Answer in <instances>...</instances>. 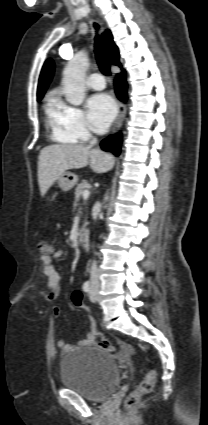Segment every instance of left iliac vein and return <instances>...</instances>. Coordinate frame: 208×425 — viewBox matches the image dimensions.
<instances>
[{"instance_id":"1","label":"left iliac vein","mask_w":208,"mask_h":425,"mask_svg":"<svg viewBox=\"0 0 208 425\" xmlns=\"http://www.w3.org/2000/svg\"><path fill=\"white\" fill-rule=\"evenodd\" d=\"M98 288H99V283L98 282H94L92 284V286H91L89 297H90V300L92 302H95L97 300V291H98Z\"/></svg>"}]
</instances>
